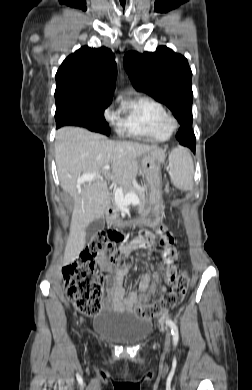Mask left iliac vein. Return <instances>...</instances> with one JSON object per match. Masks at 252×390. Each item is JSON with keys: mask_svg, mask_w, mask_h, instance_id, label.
Segmentation results:
<instances>
[{"mask_svg": "<svg viewBox=\"0 0 252 390\" xmlns=\"http://www.w3.org/2000/svg\"><path fill=\"white\" fill-rule=\"evenodd\" d=\"M170 337H171L170 330L168 328H166V340H165V350L166 351H169V348H170Z\"/></svg>", "mask_w": 252, "mask_h": 390, "instance_id": "4c4485c4", "label": "left iliac vein"}]
</instances>
